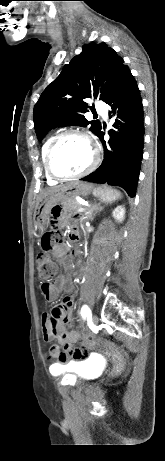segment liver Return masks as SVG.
Segmentation results:
<instances>
[{"label": "liver", "instance_id": "1", "mask_svg": "<svg viewBox=\"0 0 165 461\" xmlns=\"http://www.w3.org/2000/svg\"><path fill=\"white\" fill-rule=\"evenodd\" d=\"M61 189H63V188L57 187V188L50 189V190L44 192V193L41 195L40 199L44 198V197L47 196L48 194L58 192V191L61 190Z\"/></svg>", "mask_w": 165, "mask_h": 461}]
</instances>
